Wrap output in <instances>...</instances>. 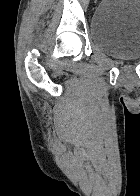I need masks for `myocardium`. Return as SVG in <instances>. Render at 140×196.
<instances>
[{
    "mask_svg": "<svg viewBox=\"0 0 140 196\" xmlns=\"http://www.w3.org/2000/svg\"><path fill=\"white\" fill-rule=\"evenodd\" d=\"M85 192H122V191H85Z\"/></svg>",
    "mask_w": 140,
    "mask_h": 196,
    "instance_id": "1",
    "label": "myocardium"
}]
</instances>
